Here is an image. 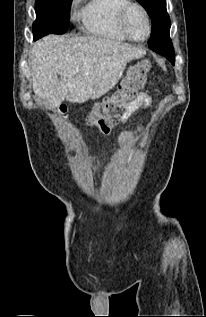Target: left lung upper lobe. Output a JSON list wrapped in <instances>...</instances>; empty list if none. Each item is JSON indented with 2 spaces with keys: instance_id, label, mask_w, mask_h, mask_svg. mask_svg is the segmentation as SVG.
Here are the masks:
<instances>
[{
  "instance_id": "obj_1",
  "label": "left lung upper lobe",
  "mask_w": 206,
  "mask_h": 317,
  "mask_svg": "<svg viewBox=\"0 0 206 317\" xmlns=\"http://www.w3.org/2000/svg\"><path fill=\"white\" fill-rule=\"evenodd\" d=\"M152 19V34L148 42H171L170 18L166 11V0H137ZM172 63V61H170Z\"/></svg>"
}]
</instances>
